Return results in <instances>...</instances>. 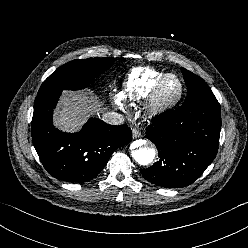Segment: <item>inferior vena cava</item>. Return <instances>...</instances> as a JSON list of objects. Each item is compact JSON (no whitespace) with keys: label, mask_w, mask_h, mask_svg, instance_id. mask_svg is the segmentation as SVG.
<instances>
[{"label":"inferior vena cava","mask_w":248,"mask_h":248,"mask_svg":"<svg viewBox=\"0 0 248 248\" xmlns=\"http://www.w3.org/2000/svg\"><path fill=\"white\" fill-rule=\"evenodd\" d=\"M103 120L111 125H120L124 122V116L117 112H108L103 116Z\"/></svg>","instance_id":"obj_1"}]
</instances>
